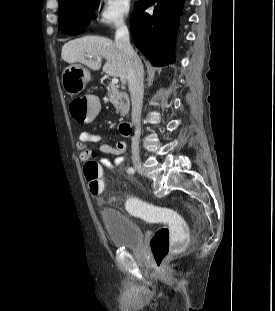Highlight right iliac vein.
<instances>
[{
    "label": "right iliac vein",
    "mask_w": 275,
    "mask_h": 311,
    "mask_svg": "<svg viewBox=\"0 0 275 311\" xmlns=\"http://www.w3.org/2000/svg\"><path fill=\"white\" fill-rule=\"evenodd\" d=\"M133 164H134V167L136 168V170L138 172L142 173V162H141L140 158H134Z\"/></svg>",
    "instance_id": "1"
}]
</instances>
